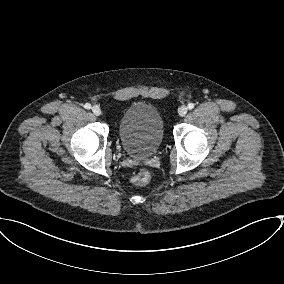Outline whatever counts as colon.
<instances>
[{"instance_id": "colon-1", "label": "colon", "mask_w": 284, "mask_h": 284, "mask_svg": "<svg viewBox=\"0 0 284 284\" xmlns=\"http://www.w3.org/2000/svg\"><path fill=\"white\" fill-rule=\"evenodd\" d=\"M149 180H150V173L145 169L140 170L132 178V182L136 185H145L149 182Z\"/></svg>"}]
</instances>
